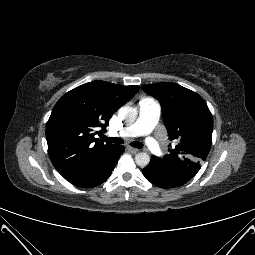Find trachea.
I'll return each mask as SVG.
<instances>
[{
    "label": "trachea",
    "mask_w": 255,
    "mask_h": 255,
    "mask_svg": "<svg viewBox=\"0 0 255 255\" xmlns=\"http://www.w3.org/2000/svg\"><path fill=\"white\" fill-rule=\"evenodd\" d=\"M102 139L104 141H108L111 143H116V144H123L124 140L121 138H116V137H106V136H102ZM131 146L135 147V148H142L143 144L141 142H131L130 143Z\"/></svg>",
    "instance_id": "obj_1"
}]
</instances>
